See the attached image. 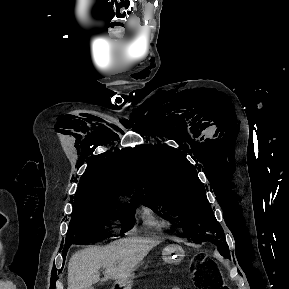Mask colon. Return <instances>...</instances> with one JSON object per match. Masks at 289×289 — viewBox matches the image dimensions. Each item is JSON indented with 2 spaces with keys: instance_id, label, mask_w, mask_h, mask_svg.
I'll return each mask as SVG.
<instances>
[{
  "instance_id": "1",
  "label": "colon",
  "mask_w": 289,
  "mask_h": 289,
  "mask_svg": "<svg viewBox=\"0 0 289 289\" xmlns=\"http://www.w3.org/2000/svg\"><path fill=\"white\" fill-rule=\"evenodd\" d=\"M192 280L198 289H225L214 267L205 261L193 269Z\"/></svg>"
}]
</instances>
